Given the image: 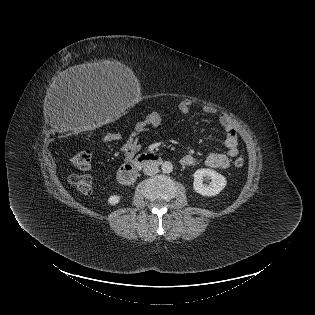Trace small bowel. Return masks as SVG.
I'll use <instances>...</instances> for the list:
<instances>
[{
  "label": "small bowel",
  "instance_id": "small-bowel-1",
  "mask_svg": "<svg viewBox=\"0 0 315 315\" xmlns=\"http://www.w3.org/2000/svg\"><path fill=\"white\" fill-rule=\"evenodd\" d=\"M193 108L190 100H182L179 103L178 110L182 114L189 113ZM203 112L209 115L218 113L213 106H204ZM164 114L160 111H154L148 114L143 120L136 123L134 129L126 142L121 147V152L126 160L131 159L142 148L141 137L153 132L163 121ZM219 123L226 132L225 146L226 153H212L205 158V164L210 168L226 169L230 166L232 158L239 153L238 136L230 117L225 114H219ZM197 159L192 155H185L181 158V163L186 166L193 165Z\"/></svg>",
  "mask_w": 315,
  "mask_h": 315
}]
</instances>
